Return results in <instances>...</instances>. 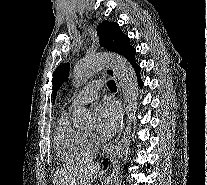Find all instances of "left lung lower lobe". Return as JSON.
I'll use <instances>...</instances> for the list:
<instances>
[{"instance_id": "obj_1", "label": "left lung lower lobe", "mask_w": 207, "mask_h": 185, "mask_svg": "<svg viewBox=\"0 0 207 185\" xmlns=\"http://www.w3.org/2000/svg\"><path fill=\"white\" fill-rule=\"evenodd\" d=\"M133 68H134L135 72L137 73V77H138V80H139V85H140V87L142 88V86H143V82H142V80L140 79V66H139V65H136V66H134Z\"/></svg>"}]
</instances>
